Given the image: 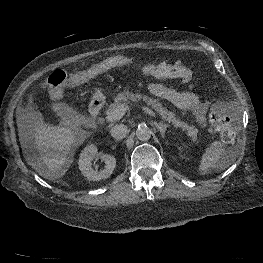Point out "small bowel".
Segmentation results:
<instances>
[{
  "label": "small bowel",
  "instance_id": "small-bowel-1",
  "mask_svg": "<svg viewBox=\"0 0 263 263\" xmlns=\"http://www.w3.org/2000/svg\"><path fill=\"white\" fill-rule=\"evenodd\" d=\"M149 91L154 96L170 102L180 110L191 111L201 125L206 123L209 102L202 100L194 91L171 89L159 83L150 84Z\"/></svg>",
  "mask_w": 263,
  "mask_h": 263
}]
</instances>
